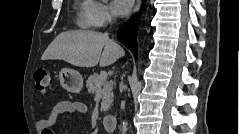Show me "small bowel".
<instances>
[{
  "mask_svg": "<svg viewBox=\"0 0 239 134\" xmlns=\"http://www.w3.org/2000/svg\"><path fill=\"white\" fill-rule=\"evenodd\" d=\"M87 106L79 101H60L50 110L48 116L38 122V130L41 134H54L53 126L56 124L60 115L64 113L86 114Z\"/></svg>",
  "mask_w": 239,
  "mask_h": 134,
  "instance_id": "c3829d8e",
  "label": "small bowel"
}]
</instances>
